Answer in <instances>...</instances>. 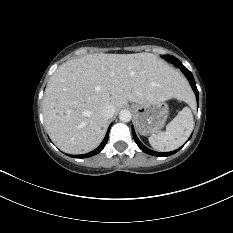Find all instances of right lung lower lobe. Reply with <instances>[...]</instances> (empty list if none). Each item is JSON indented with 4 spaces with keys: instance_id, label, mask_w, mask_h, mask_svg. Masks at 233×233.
<instances>
[{
    "instance_id": "98d812e1",
    "label": "right lung lower lobe",
    "mask_w": 233,
    "mask_h": 233,
    "mask_svg": "<svg viewBox=\"0 0 233 233\" xmlns=\"http://www.w3.org/2000/svg\"><path fill=\"white\" fill-rule=\"evenodd\" d=\"M111 127V126H110ZM110 127L106 133V136L104 138V140L102 141V143L93 151L87 153V154H84V155H69L71 157H74V158H86V157H91L93 155H96L98 154L101 150H103V148L105 147L106 143H107V140H108V137H109V130H110Z\"/></svg>"
}]
</instances>
